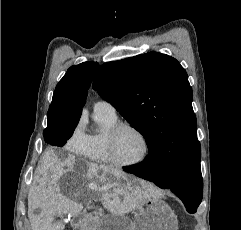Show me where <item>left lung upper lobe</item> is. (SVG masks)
I'll return each mask as SVG.
<instances>
[{
  "mask_svg": "<svg viewBox=\"0 0 241 230\" xmlns=\"http://www.w3.org/2000/svg\"><path fill=\"white\" fill-rule=\"evenodd\" d=\"M92 86L144 136L149 153L162 149L169 159L170 184L200 163L192 88L175 58L150 52L107 62Z\"/></svg>",
  "mask_w": 241,
  "mask_h": 230,
  "instance_id": "5c2ea615",
  "label": "left lung upper lobe"
}]
</instances>
